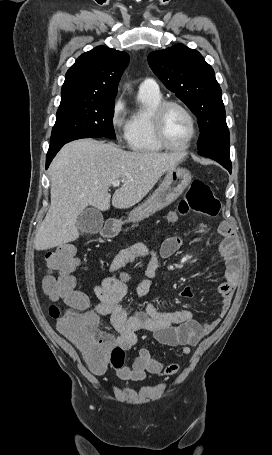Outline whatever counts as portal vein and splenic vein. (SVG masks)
I'll return each instance as SVG.
<instances>
[{
    "mask_svg": "<svg viewBox=\"0 0 272 455\" xmlns=\"http://www.w3.org/2000/svg\"><path fill=\"white\" fill-rule=\"evenodd\" d=\"M112 185H113V187H117V186L120 185V181L119 180H115V181L112 182Z\"/></svg>",
    "mask_w": 272,
    "mask_h": 455,
    "instance_id": "portal-vein-and-splenic-vein-1",
    "label": "portal vein and splenic vein"
}]
</instances>
